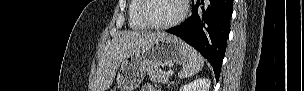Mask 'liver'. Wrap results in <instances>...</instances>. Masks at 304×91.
Here are the masks:
<instances>
[{
  "label": "liver",
  "mask_w": 304,
  "mask_h": 91,
  "mask_svg": "<svg viewBox=\"0 0 304 91\" xmlns=\"http://www.w3.org/2000/svg\"><path fill=\"white\" fill-rule=\"evenodd\" d=\"M164 33L123 32L108 44L99 60L94 91H106L112 84L121 62L129 55L143 50L154 38Z\"/></svg>",
  "instance_id": "liver-1"
}]
</instances>
